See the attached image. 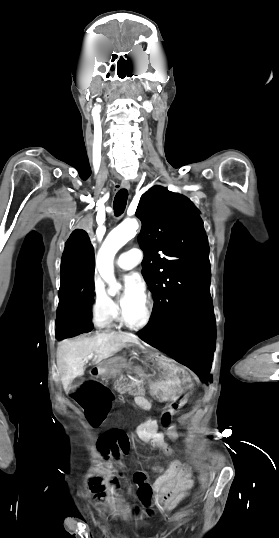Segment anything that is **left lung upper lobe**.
Wrapping results in <instances>:
<instances>
[{
	"label": "left lung upper lobe",
	"instance_id": "1",
	"mask_svg": "<svg viewBox=\"0 0 279 538\" xmlns=\"http://www.w3.org/2000/svg\"><path fill=\"white\" fill-rule=\"evenodd\" d=\"M136 216L142 221V274L155 301L144 329L157 331L210 292L208 239L190 200L161 186L141 196Z\"/></svg>",
	"mask_w": 279,
	"mask_h": 538
}]
</instances>
